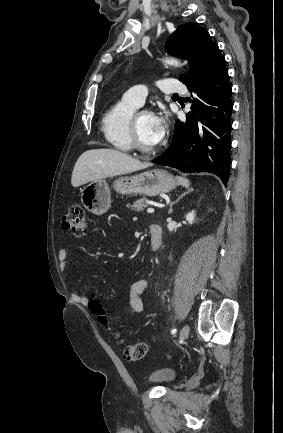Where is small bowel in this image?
<instances>
[{"label":"small bowel","mask_w":283,"mask_h":433,"mask_svg":"<svg viewBox=\"0 0 283 433\" xmlns=\"http://www.w3.org/2000/svg\"><path fill=\"white\" fill-rule=\"evenodd\" d=\"M60 270L63 274L68 272V250L60 248L57 252ZM148 281L146 279H139L131 284L129 288V306L134 313H141L144 310V303L141 295L148 288ZM72 300L81 305H88L89 299L86 295L74 291L72 293Z\"/></svg>","instance_id":"1"}]
</instances>
